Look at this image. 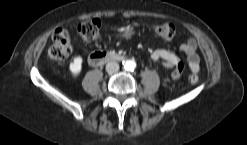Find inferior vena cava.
I'll return each mask as SVG.
<instances>
[{"label":"inferior vena cava","mask_w":247,"mask_h":145,"mask_svg":"<svg viewBox=\"0 0 247 145\" xmlns=\"http://www.w3.org/2000/svg\"><path fill=\"white\" fill-rule=\"evenodd\" d=\"M119 70V64L117 62H108L106 65V71L110 74L115 73Z\"/></svg>","instance_id":"602c4592"}]
</instances>
